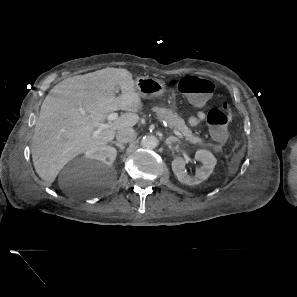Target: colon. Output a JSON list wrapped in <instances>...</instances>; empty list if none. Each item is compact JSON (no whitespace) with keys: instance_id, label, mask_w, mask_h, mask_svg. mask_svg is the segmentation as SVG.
Returning <instances> with one entry per match:
<instances>
[{"instance_id":"obj_1","label":"colon","mask_w":297,"mask_h":297,"mask_svg":"<svg viewBox=\"0 0 297 297\" xmlns=\"http://www.w3.org/2000/svg\"><path fill=\"white\" fill-rule=\"evenodd\" d=\"M171 84L197 102H202L211 97L215 88L210 80L195 76L176 78L171 81ZM230 122L231 107L227 101L221 103V108L211 109L207 114L209 131L217 141L226 140Z\"/></svg>"}]
</instances>
